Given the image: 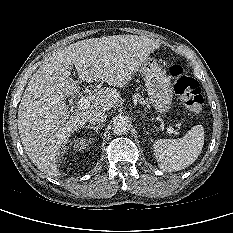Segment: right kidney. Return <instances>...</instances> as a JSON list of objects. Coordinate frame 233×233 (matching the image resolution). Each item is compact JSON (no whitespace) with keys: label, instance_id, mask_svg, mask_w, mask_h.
<instances>
[{"label":"right kidney","instance_id":"obj_1","mask_svg":"<svg viewBox=\"0 0 233 233\" xmlns=\"http://www.w3.org/2000/svg\"><path fill=\"white\" fill-rule=\"evenodd\" d=\"M70 145L74 148V150H83L87 147V142L85 139H74L71 141Z\"/></svg>","mask_w":233,"mask_h":233}]
</instances>
